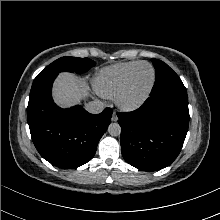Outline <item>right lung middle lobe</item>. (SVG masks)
Wrapping results in <instances>:
<instances>
[{"mask_svg":"<svg viewBox=\"0 0 220 220\" xmlns=\"http://www.w3.org/2000/svg\"><path fill=\"white\" fill-rule=\"evenodd\" d=\"M95 65L96 63L89 58L65 56L48 65L35 79H40L52 74H58L63 71L84 73Z\"/></svg>","mask_w":220,"mask_h":220,"instance_id":"right-lung-middle-lobe-1","label":"right lung middle lobe"}]
</instances>
